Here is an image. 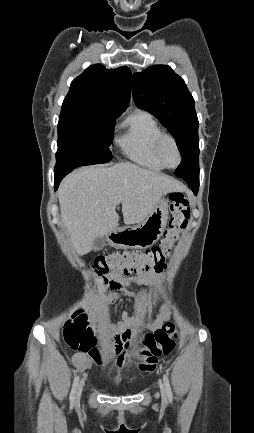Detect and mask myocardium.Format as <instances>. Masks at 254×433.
<instances>
[{"label": "myocardium", "mask_w": 254, "mask_h": 433, "mask_svg": "<svg viewBox=\"0 0 254 433\" xmlns=\"http://www.w3.org/2000/svg\"><path fill=\"white\" fill-rule=\"evenodd\" d=\"M164 140H169V141H171V142L173 143V145L175 146V149H176V151H177V154H178V158H179V160H178L177 165H175V166H173V167L166 165V164L164 163V161L162 160V158H161L160 147H161V145H162V143H163ZM153 152H154V155H155L156 159H157V160L160 162V164H161L164 168H166V169H176V168L181 164V162H182V153H181V150H180L179 144H178L177 140L175 139V137H173V136L170 135V134L162 133V134H160V135L155 139L154 146H153Z\"/></svg>", "instance_id": "f54148a6"}]
</instances>
